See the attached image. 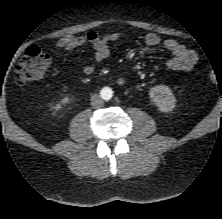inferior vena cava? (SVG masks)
Returning a JSON list of instances; mask_svg holds the SVG:
<instances>
[{
  "mask_svg": "<svg viewBox=\"0 0 222 219\" xmlns=\"http://www.w3.org/2000/svg\"><path fill=\"white\" fill-rule=\"evenodd\" d=\"M91 105L94 108H101L104 105L103 99L98 94H94L91 97Z\"/></svg>",
  "mask_w": 222,
  "mask_h": 219,
  "instance_id": "obj_1",
  "label": "inferior vena cava"
}]
</instances>
